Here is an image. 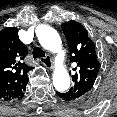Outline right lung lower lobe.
<instances>
[{
    "instance_id": "obj_1",
    "label": "right lung lower lobe",
    "mask_w": 117,
    "mask_h": 117,
    "mask_svg": "<svg viewBox=\"0 0 117 117\" xmlns=\"http://www.w3.org/2000/svg\"><path fill=\"white\" fill-rule=\"evenodd\" d=\"M25 88H26V87H25ZM24 92H25V89L22 91V94H21L17 99H20L21 97H23Z\"/></svg>"
}]
</instances>
